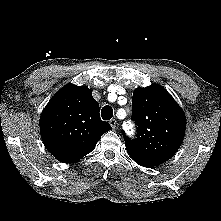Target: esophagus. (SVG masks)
Here are the masks:
<instances>
[{
  "mask_svg": "<svg viewBox=\"0 0 221 221\" xmlns=\"http://www.w3.org/2000/svg\"><path fill=\"white\" fill-rule=\"evenodd\" d=\"M116 123H117V121H116L115 119H111V120L109 121V124L111 125V127H112L113 129L116 127Z\"/></svg>",
  "mask_w": 221,
  "mask_h": 221,
  "instance_id": "34e87169",
  "label": "esophagus"
}]
</instances>
